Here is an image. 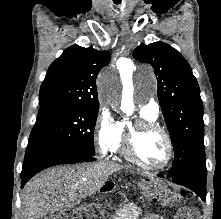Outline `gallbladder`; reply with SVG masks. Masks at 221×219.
I'll return each instance as SVG.
<instances>
[{"mask_svg": "<svg viewBox=\"0 0 221 219\" xmlns=\"http://www.w3.org/2000/svg\"><path fill=\"white\" fill-rule=\"evenodd\" d=\"M61 213H48L43 219H60Z\"/></svg>", "mask_w": 221, "mask_h": 219, "instance_id": "obj_1", "label": "gallbladder"}]
</instances>
